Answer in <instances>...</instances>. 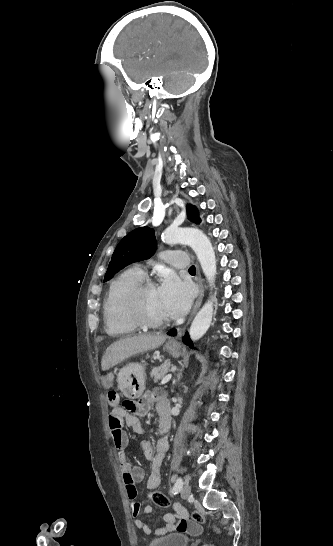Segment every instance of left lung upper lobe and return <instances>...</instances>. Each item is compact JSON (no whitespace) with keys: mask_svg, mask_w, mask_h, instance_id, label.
<instances>
[{"mask_svg":"<svg viewBox=\"0 0 333 546\" xmlns=\"http://www.w3.org/2000/svg\"><path fill=\"white\" fill-rule=\"evenodd\" d=\"M187 215L190 221L199 223L200 218L195 206H187ZM154 230L145 226L140 227L125 236L117 245L109 263L104 281L127 265L150 258L156 250Z\"/></svg>","mask_w":333,"mask_h":546,"instance_id":"obj_1","label":"left lung upper lobe"}]
</instances>
